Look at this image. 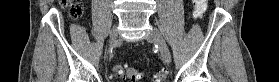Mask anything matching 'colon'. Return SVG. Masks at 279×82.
<instances>
[{
    "instance_id": "obj_1",
    "label": "colon",
    "mask_w": 279,
    "mask_h": 82,
    "mask_svg": "<svg viewBox=\"0 0 279 82\" xmlns=\"http://www.w3.org/2000/svg\"><path fill=\"white\" fill-rule=\"evenodd\" d=\"M62 6L68 7L69 16L73 19H79L83 15V6L80 1L61 0ZM195 10L194 17H200L206 9L207 0H194ZM112 74L116 79H129L133 82L141 81L143 73L136 68L128 67L127 65H114L112 67ZM167 76V71L160 69L155 74L154 82H164Z\"/></svg>"
}]
</instances>
